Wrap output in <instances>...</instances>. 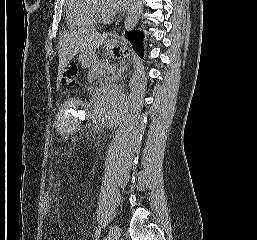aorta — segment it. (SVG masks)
Returning <instances> with one entry per match:
<instances>
[{
	"mask_svg": "<svg viewBox=\"0 0 257 240\" xmlns=\"http://www.w3.org/2000/svg\"><path fill=\"white\" fill-rule=\"evenodd\" d=\"M143 6L144 0L132 1L124 21L125 30L130 31L135 28L143 12Z\"/></svg>",
	"mask_w": 257,
	"mask_h": 240,
	"instance_id": "obj_1",
	"label": "aorta"
}]
</instances>
